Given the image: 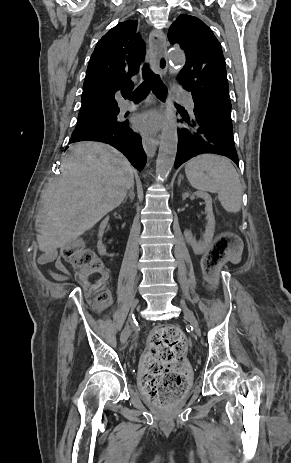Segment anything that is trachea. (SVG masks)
I'll return each instance as SVG.
<instances>
[{
	"instance_id": "1",
	"label": "trachea",
	"mask_w": 291,
	"mask_h": 463,
	"mask_svg": "<svg viewBox=\"0 0 291 463\" xmlns=\"http://www.w3.org/2000/svg\"><path fill=\"white\" fill-rule=\"evenodd\" d=\"M142 75L144 78L143 83L133 93L122 92L123 97L138 102L143 100L152 89L158 99L165 100L167 90L160 77L149 68L148 64L143 66Z\"/></svg>"
}]
</instances>
